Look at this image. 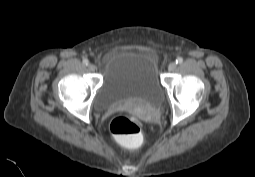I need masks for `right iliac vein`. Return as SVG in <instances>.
I'll use <instances>...</instances> for the list:
<instances>
[{
	"label": "right iliac vein",
	"instance_id": "right-iliac-vein-1",
	"mask_svg": "<svg viewBox=\"0 0 255 177\" xmlns=\"http://www.w3.org/2000/svg\"><path fill=\"white\" fill-rule=\"evenodd\" d=\"M95 69H96V67H95L94 64H91V63H90V64L88 65V70H89V71L94 72Z\"/></svg>",
	"mask_w": 255,
	"mask_h": 177
}]
</instances>
